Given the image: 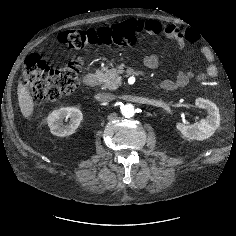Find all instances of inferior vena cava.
<instances>
[{
	"label": "inferior vena cava",
	"mask_w": 236,
	"mask_h": 236,
	"mask_svg": "<svg viewBox=\"0 0 236 236\" xmlns=\"http://www.w3.org/2000/svg\"><path fill=\"white\" fill-rule=\"evenodd\" d=\"M96 98L101 102H110L114 99V95L110 93H99L96 95Z\"/></svg>",
	"instance_id": "inferior-vena-cava-1"
}]
</instances>
